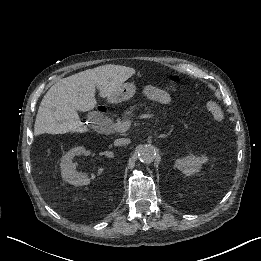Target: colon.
I'll return each instance as SVG.
<instances>
[{
  "mask_svg": "<svg viewBox=\"0 0 261 261\" xmlns=\"http://www.w3.org/2000/svg\"><path fill=\"white\" fill-rule=\"evenodd\" d=\"M170 79H171L172 82H174V83H178L179 80H180V77L177 76V75H173V76H171Z\"/></svg>",
  "mask_w": 261,
  "mask_h": 261,
  "instance_id": "5ec220e1",
  "label": "colon"
}]
</instances>
